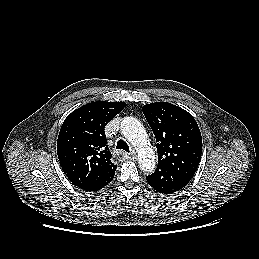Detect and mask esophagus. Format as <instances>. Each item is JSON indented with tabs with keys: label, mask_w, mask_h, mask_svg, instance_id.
<instances>
[{
	"label": "esophagus",
	"mask_w": 259,
	"mask_h": 259,
	"mask_svg": "<svg viewBox=\"0 0 259 259\" xmlns=\"http://www.w3.org/2000/svg\"><path fill=\"white\" fill-rule=\"evenodd\" d=\"M125 158L128 159V160H135L136 159V155L134 153L125 154Z\"/></svg>",
	"instance_id": "1"
}]
</instances>
